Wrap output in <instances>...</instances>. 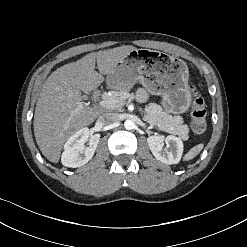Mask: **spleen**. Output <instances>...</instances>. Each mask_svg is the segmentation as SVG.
Returning <instances> with one entry per match:
<instances>
[{
  "label": "spleen",
  "mask_w": 247,
  "mask_h": 247,
  "mask_svg": "<svg viewBox=\"0 0 247 247\" xmlns=\"http://www.w3.org/2000/svg\"><path fill=\"white\" fill-rule=\"evenodd\" d=\"M204 145L202 143L192 147L183 157L184 161H189L195 158L203 149Z\"/></svg>",
  "instance_id": "1"
}]
</instances>
